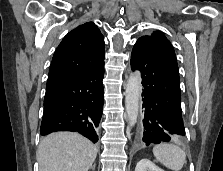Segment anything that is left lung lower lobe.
<instances>
[{
  "label": "left lung lower lobe",
  "mask_w": 223,
  "mask_h": 171,
  "mask_svg": "<svg viewBox=\"0 0 223 171\" xmlns=\"http://www.w3.org/2000/svg\"><path fill=\"white\" fill-rule=\"evenodd\" d=\"M131 68L141 72L143 85V120L137 142L148 146L181 139L185 128L178 67L156 48L136 42Z\"/></svg>",
  "instance_id": "1"
}]
</instances>
